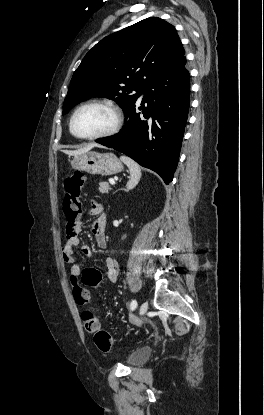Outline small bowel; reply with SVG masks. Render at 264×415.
<instances>
[{
    "mask_svg": "<svg viewBox=\"0 0 264 415\" xmlns=\"http://www.w3.org/2000/svg\"><path fill=\"white\" fill-rule=\"evenodd\" d=\"M90 214L97 215L98 218L92 224V234L94 235L97 246L100 249H105L107 245L105 236L106 215L103 212L102 204L93 202L90 207ZM83 223L78 222V231L81 230ZM80 245V240L77 236H68L66 244L62 247L61 255L65 263L70 264V276L78 278L81 274V265L75 262L73 248ZM81 253L87 257L92 256V250L88 245L80 246ZM107 279L114 283L118 278L119 266L115 258L107 256L104 259Z\"/></svg>",
    "mask_w": 264,
    "mask_h": 415,
    "instance_id": "1",
    "label": "small bowel"
}]
</instances>
